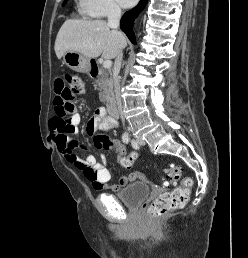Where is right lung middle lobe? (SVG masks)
I'll use <instances>...</instances> for the list:
<instances>
[{
  "mask_svg": "<svg viewBox=\"0 0 248 258\" xmlns=\"http://www.w3.org/2000/svg\"><path fill=\"white\" fill-rule=\"evenodd\" d=\"M67 1H68V0H64V3H63V5H65Z\"/></svg>",
  "mask_w": 248,
  "mask_h": 258,
  "instance_id": "dd1d6c3e",
  "label": "right lung middle lobe"
}]
</instances>
